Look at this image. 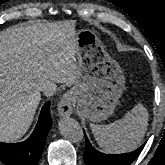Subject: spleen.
<instances>
[{
    "label": "spleen",
    "instance_id": "1",
    "mask_svg": "<svg viewBox=\"0 0 165 165\" xmlns=\"http://www.w3.org/2000/svg\"><path fill=\"white\" fill-rule=\"evenodd\" d=\"M148 125V112L138 103L122 119L107 125L91 123L98 145L107 153L131 151L141 143Z\"/></svg>",
    "mask_w": 165,
    "mask_h": 165
}]
</instances>
